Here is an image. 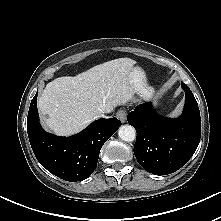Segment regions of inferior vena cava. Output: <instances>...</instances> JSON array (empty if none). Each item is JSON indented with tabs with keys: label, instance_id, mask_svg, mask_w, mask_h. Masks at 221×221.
Returning <instances> with one entry per match:
<instances>
[{
	"label": "inferior vena cava",
	"instance_id": "inferior-vena-cava-1",
	"mask_svg": "<svg viewBox=\"0 0 221 221\" xmlns=\"http://www.w3.org/2000/svg\"><path fill=\"white\" fill-rule=\"evenodd\" d=\"M98 117L107 118V116H105L104 114H100Z\"/></svg>",
	"mask_w": 221,
	"mask_h": 221
}]
</instances>
